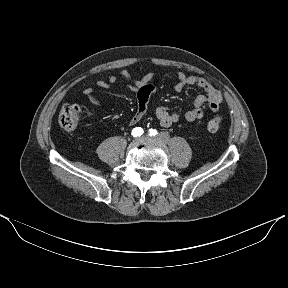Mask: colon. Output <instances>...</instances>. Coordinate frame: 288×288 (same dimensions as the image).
Returning a JSON list of instances; mask_svg holds the SVG:
<instances>
[{
    "label": "colon",
    "instance_id": "obj_1",
    "mask_svg": "<svg viewBox=\"0 0 288 288\" xmlns=\"http://www.w3.org/2000/svg\"><path fill=\"white\" fill-rule=\"evenodd\" d=\"M81 109L77 104H65L60 109L58 123L65 131H73L79 123ZM222 122V116H216L207 123V130L216 132Z\"/></svg>",
    "mask_w": 288,
    "mask_h": 288
}]
</instances>
